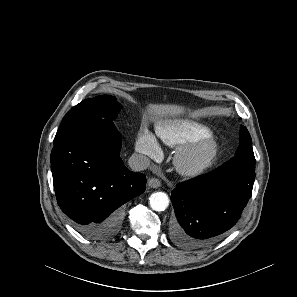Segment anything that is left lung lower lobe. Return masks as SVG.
Listing matches in <instances>:
<instances>
[{"label":"left lung lower lobe","mask_w":297,"mask_h":297,"mask_svg":"<svg viewBox=\"0 0 297 297\" xmlns=\"http://www.w3.org/2000/svg\"><path fill=\"white\" fill-rule=\"evenodd\" d=\"M255 164L254 156H235L205 175L178 184L171 195L178 221L171 230L172 240L195 249L225 236L251 197Z\"/></svg>","instance_id":"1"}]
</instances>
